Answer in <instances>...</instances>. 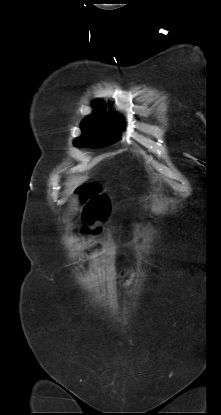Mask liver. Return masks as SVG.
Returning <instances> with one entry per match:
<instances>
[{"label":"liver","mask_w":221,"mask_h":415,"mask_svg":"<svg viewBox=\"0 0 221 415\" xmlns=\"http://www.w3.org/2000/svg\"><path fill=\"white\" fill-rule=\"evenodd\" d=\"M86 179H87L86 176L74 177V178L70 179L66 183L68 193L71 194L73 192V190L75 189V187H77L82 182L86 181Z\"/></svg>","instance_id":"obj_1"}]
</instances>
